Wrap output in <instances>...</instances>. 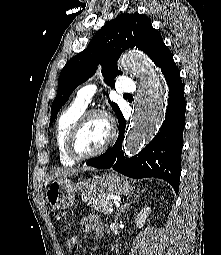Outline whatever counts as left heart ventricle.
Here are the masks:
<instances>
[{
    "label": "left heart ventricle",
    "instance_id": "b2bd125f",
    "mask_svg": "<svg viewBox=\"0 0 221 255\" xmlns=\"http://www.w3.org/2000/svg\"><path fill=\"white\" fill-rule=\"evenodd\" d=\"M108 134L107 125L100 117H92L83 126L77 140V150L81 154H88L99 149Z\"/></svg>",
    "mask_w": 221,
    "mask_h": 255
}]
</instances>
